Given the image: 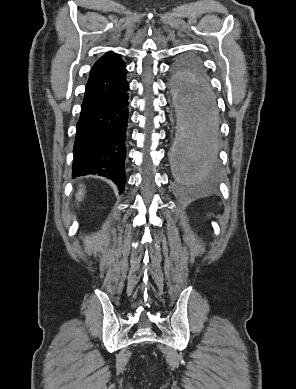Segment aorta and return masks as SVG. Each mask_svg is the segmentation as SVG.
I'll return each mask as SVG.
<instances>
[{"label": "aorta", "instance_id": "obj_1", "mask_svg": "<svg viewBox=\"0 0 296 389\" xmlns=\"http://www.w3.org/2000/svg\"><path fill=\"white\" fill-rule=\"evenodd\" d=\"M170 96L173 99L177 133L169 147L171 167L180 183H201L218 160L215 130L216 93L201 72L173 67Z\"/></svg>", "mask_w": 296, "mask_h": 389}]
</instances>
